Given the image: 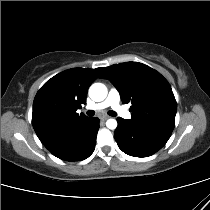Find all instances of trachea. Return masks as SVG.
Masks as SVG:
<instances>
[{"label": "trachea", "mask_w": 210, "mask_h": 210, "mask_svg": "<svg viewBox=\"0 0 210 210\" xmlns=\"http://www.w3.org/2000/svg\"><path fill=\"white\" fill-rule=\"evenodd\" d=\"M95 114V112L93 111V110H88L87 111V115L88 116H93ZM108 114L110 115V116H116V113L114 112V111H108Z\"/></svg>", "instance_id": "trachea-1"}]
</instances>
